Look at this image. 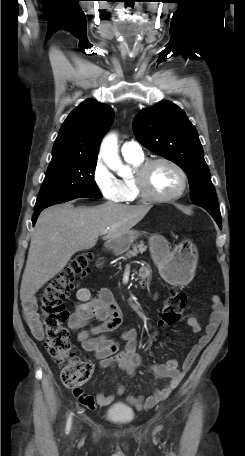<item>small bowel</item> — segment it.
I'll use <instances>...</instances> for the list:
<instances>
[{
	"mask_svg": "<svg viewBox=\"0 0 245 456\" xmlns=\"http://www.w3.org/2000/svg\"><path fill=\"white\" fill-rule=\"evenodd\" d=\"M150 274L149 267L145 266L140 269V277L146 280ZM78 304L75 311L69 318L68 326L73 331H78L77 341L81 347L99 360L101 368L119 367L129 374H134L135 370L141 366L142 361L137 353L138 332L134 328L122 331L119 339L124 342L120 347L119 339L112 336L122 323V313L116 303L112 292L107 289H101L97 295H93L90 289L82 287L76 294ZM156 298V294H154ZM212 313L205 327L204 333L198 341L193 344L183 364L179 367V361L176 358L169 359L165 364H154L151 369L156 378H168V383L160 389H156L151 396L128 395L127 401L136 409L153 407L161 400L167 398L170 393L180 384L186 372L209 343L216 333L223 315V303L218 295L211 297ZM24 318L32 334L39 340L43 339V329L37 314V304L34 298L25 301L23 305ZM97 319L100 323L89 329L85 327L93 320ZM188 325L194 333L201 331V326L195 317L188 318ZM125 389L118 385L116 394L105 395L98 393L92 396L86 393L82 388L73 390L74 396L78 401L89 409H95L99 406L111 404L116 396L124 394Z\"/></svg>",
	"mask_w": 245,
	"mask_h": 456,
	"instance_id": "obj_1",
	"label": "small bowel"
}]
</instances>
